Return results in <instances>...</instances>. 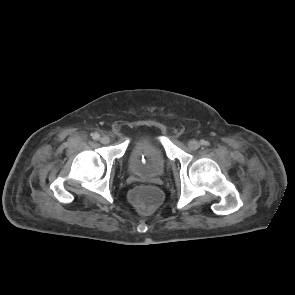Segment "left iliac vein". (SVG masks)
Instances as JSON below:
<instances>
[{
  "label": "left iliac vein",
  "mask_w": 295,
  "mask_h": 295,
  "mask_svg": "<svg viewBox=\"0 0 295 295\" xmlns=\"http://www.w3.org/2000/svg\"><path fill=\"white\" fill-rule=\"evenodd\" d=\"M188 147L192 150H196L200 147V143L196 140H190L188 143Z\"/></svg>",
  "instance_id": "obj_1"
}]
</instances>
